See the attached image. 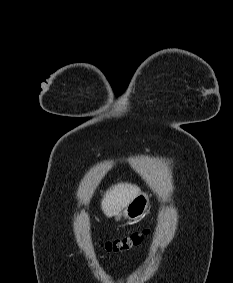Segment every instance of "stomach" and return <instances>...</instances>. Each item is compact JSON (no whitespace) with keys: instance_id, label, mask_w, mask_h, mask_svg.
Here are the masks:
<instances>
[{"instance_id":"stomach-1","label":"stomach","mask_w":233,"mask_h":283,"mask_svg":"<svg viewBox=\"0 0 233 283\" xmlns=\"http://www.w3.org/2000/svg\"><path fill=\"white\" fill-rule=\"evenodd\" d=\"M150 201L147 193L138 194L121 212L114 216L116 221L122 217L129 220H138L141 218L149 207Z\"/></svg>"}]
</instances>
